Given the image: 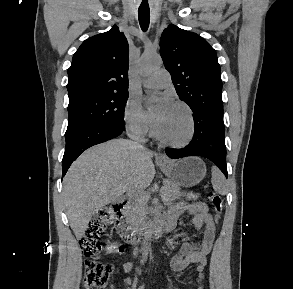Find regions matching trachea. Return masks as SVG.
I'll use <instances>...</instances> for the list:
<instances>
[{"instance_id":"trachea-1","label":"trachea","mask_w":293,"mask_h":289,"mask_svg":"<svg viewBox=\"0 0 293 289\" xmlns=\"http://www.w3.org/2000/svg\"><path fill=\"white\" fill-rule=\"evenodd\" d=\"M138 18H139V23H140L141 29L143 31H147V29L149 27V21H150V10L144 9V8H139L138 9Z\"/></svg>"}]
</instances>
